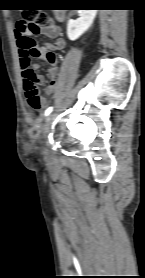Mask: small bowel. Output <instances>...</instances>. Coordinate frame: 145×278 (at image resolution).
<instances>
[{
	"instance_id": "small-bowel-1",
	"label": "small bowel",
	"mask_w": 145,
	"mask_h": 278,
	"mask_svg": "<svg viewBox=\"0 0 145 278\" xmlns=\"http://www.w3.org/2000/svg\"><path fill=\"white\" fill-rule=\"evenodd\" d=\"M37 33L38 32H34L31 30H25L21 33L15 32V36H16V40H17L19 49H21L22 41L25 38H33V36L36 35ZM41 33L54 40L53 43L47 44L45 47H41V53H40L41 54L40 58L45 60L50 66V69H49L50 83L45 89V91H48V90L53 89L57 83L58 67H57V60L55 59L54 62H49L46 59L44 53L47 50L57 51V50L63 49L65 46V40L62 36L61 29L58 26L51 27L50 29H45V30L41 31ZM20 57H21L20 66H21L22 74H23L24 70L28 66L30 57H28V55L25 52H21ZM30 69L32 71L37 70L38 66L35 64L34 65L30 64ZM37 77L40 82H43V77L41 75H38Z\"/></svg>"
}]
</instances>
